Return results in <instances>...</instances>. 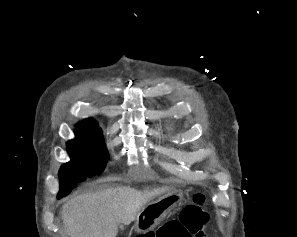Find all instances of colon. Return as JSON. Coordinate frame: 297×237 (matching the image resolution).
Instances as JSON below:
<instances>
[{
    "instance_id": "obj_1",
    "label": "colon",
    "mask_w": 297,
    "mask_h": 237,
    "mask_svg": "<svg viewBox=\"0 0 297 237\" xmlns=\"http://www.w3.org/2000/svg\"><path fill=\"white\" fill-rule=\"evenodd\" d=\"M205 195L197 192L192 203L188 204L176 220H172L156 232H150L138 237H206L209 214L203 209Z\"/></svg>"
}]
</instances>
